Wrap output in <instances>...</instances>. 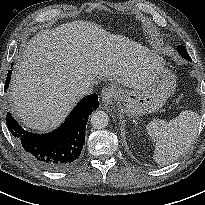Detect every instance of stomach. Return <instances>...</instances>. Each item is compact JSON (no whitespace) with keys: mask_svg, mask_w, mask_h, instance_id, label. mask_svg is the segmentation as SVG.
<instances>
[{"mask_svg":"<svg viewBox=\"0 0 205 205\" xmlns=\"http://www.w3.org/2000/svg\"><path fill=\"white\" fill-rule=\"evenodd\" d=\"M176 88L175 75L167 68H161L151 84L143 89L124 90L116 88L119 101L125 113L137 117L158 111L167 102Z\"/></svg>","mask_w":205,"mask_h":205,"instance_id":"obj_1","label":"stomach"}]
</instances>
